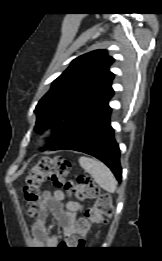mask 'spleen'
<instances>
[{
	"mask_svg": "<svg viewBox=\"0 0 162 261\" xmlns=\"http://www.w3.org/2000/svg\"><path fill=\"white\" fill-rule=\"evenodd\" d=\"M80 166L88 172L95 182L107 192L113 193L117 188V181L110 169L102 162L82 156L79 158Z\"/></svg>",
	"mask_w": 162,
	"mask_h": 261,
	"instance_id": "obj_1",
	"label": "spleen"
}]
</instances>
